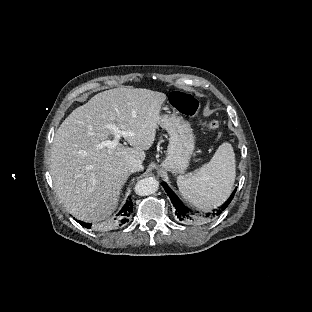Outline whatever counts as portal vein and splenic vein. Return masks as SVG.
<instances>
[{"label":"portal vein and splenic vein","instance_id":"18ae733b","mask_svg":"<svg viewBox=\"0 0 312 312\" xmlns=\"http://www.w3.org/2000/svg\"><path fill=\"white\" fill-rule=\"evenodd\" d=\"M112 135L113 139L112 140H106L100 143L99 145L96 146L97 149L105 148V147H110V148H116L118 145H120V140L121 137L124 136H135V133L129 132V131H122L118 127L113 126L112 127Z\"/></svg>","mask_w":312,"mask_h":312}]
</instances>
